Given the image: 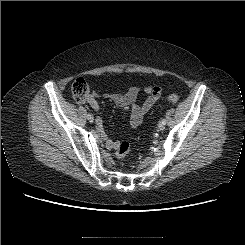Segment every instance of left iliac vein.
Masks as SVG:
<instances>
[{
    "instance_id": "obj_1",
    "label": "left iliac vein",
    "mask_w": 245,
    "mask_h": 245,
    "mask_svg": "<svg viewBox=\"0 0 245 245\" xmlns=\"http://www.w3.org/2000/svg\"><path fill=\"white\" fill-rule=\"evenodd\" d=\"M164 128H165V125H164L162 122H160V123L158 124V129H159L160 131H163Z\"/></svg>"
}]
</instances>
